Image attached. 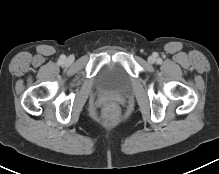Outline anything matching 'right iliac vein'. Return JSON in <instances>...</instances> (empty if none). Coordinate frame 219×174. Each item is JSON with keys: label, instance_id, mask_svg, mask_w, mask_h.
Instances as JSON below:
<instances>
[{"label": "right iliac vein", "instance_id": "right-iliac-vein-1", "mask_svg": "<svg viewBox=\"0 0 219 174\" xmlns=\"http://www.w3.org/2000/svg\"><path fill=\"white\" fill-rule=\"evenodd\" d=\"M71 61H72L71 58H67V59H66V62H67V63H71Z\"/></svg>", "mask_w": 219, "mask_h": 174}]
</instances>
